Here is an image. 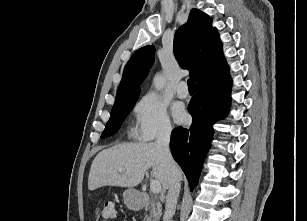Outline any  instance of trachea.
Returning <instances> with one entry per match:
<instances>
[{
	"mask_svg": "<svg viewBox=\"0 0 307 221\" xmlns=\"http://www.w3.org/2000/svg\"><path fill=\"white\" fill-rule=\"evenodd\" d=\"M187 84H188V89L189 90H194V88H195V86H194L195 85L194 79H192V78L188 79Z\"/></svg>",
	"mask_w": 307,
	"mask_h": 221,
	"instance_id": "trachea-1",
	"label": "trachea"
}]
</instances>
